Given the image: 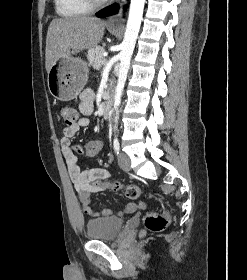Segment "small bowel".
Instances as JSON below:
<instances>
[{
	"label": "small bowel",
	"instance_id": "small-bowel-1",
	"mask_svg": "<svg viewBox=\"0 0 247 280\" xmlns=\"http://www.w3.org/2000/svg\"><path fill=\"white\" fill-rule=\"evenodd\" d=\"M80 112L82 116L73 125H67L63 130L61 146L64 158L68 165L69 173L74 184L77 197L83 207L85 214L97 217L112 216L111 208H104L101 212L95 211L91 206V194L108 190L107 187H94V180H110L111 174L109 171L101 168H93L86 171H81L77 164V156L71 147V139L77 134L80 128L89 126V115L93 110L94 92L91 89H85L80 95ZM144 203H129L119 213H130L138 208H143Z\"/></svg>",
	"mask_w": 247,
	"mask_h": 280
}]
</instances>
